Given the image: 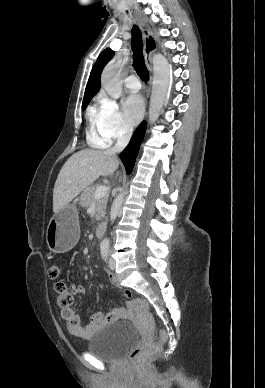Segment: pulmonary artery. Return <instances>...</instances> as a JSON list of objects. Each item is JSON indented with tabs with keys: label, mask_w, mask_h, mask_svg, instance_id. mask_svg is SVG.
I'll use <instances>...</instances> for the list:
<instances>
[{
	"label": "pulmonary artery",
	"mask_w": 265,
	"mask_h": 388,
	"mask_svg": "<svg viewBox=\"0 0 265 388\" xmlns=\"http://www.w3.org/2000/svg\"><path fill=\"white\" fill-rule=\"evenodd\" d=\"M125 80H126V84L129 87L128 92L130 94L140 93V88H139L140 81L139 79H136L135 75H126Z\"/></svg>",
	"instance_id": "1"
}]
</instances>
